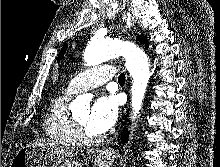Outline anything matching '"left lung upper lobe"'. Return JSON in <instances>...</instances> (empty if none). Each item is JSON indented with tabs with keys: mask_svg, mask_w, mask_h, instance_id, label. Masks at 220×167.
<instances>
[{
	"mask_svg": "<svg viewBox=\"0 0 220 167\" xmlns=\"http://www.w3.org/2000/svg\"><path fill=\"white\" fill-rule=\"evenodd\" d=\"M137 39H139L142 43H144L146 38L144 36H138ZM66 48H67V45H64L63 48L61 49L59 55H58V58H57L58 60H61L63 58V56L66 52Z\"/></svg>",
	"mask_w": 220,
	"mask_h": 167,
	"instance_id": "left-lung-upper-lobe-1",
	"label": "left lung upper lobe"
}]
</instances>
